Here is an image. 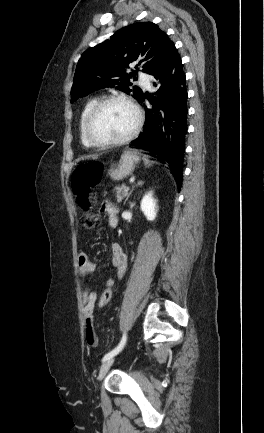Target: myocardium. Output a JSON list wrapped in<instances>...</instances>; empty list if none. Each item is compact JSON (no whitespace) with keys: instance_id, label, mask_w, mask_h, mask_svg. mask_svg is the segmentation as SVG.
<instances>
[{"instance_id":"myocardium-1","label":"myocardium","mask_w":264,"mask_h":433,"mask_svg":"<svg viewBox=\"0 0 264 433\" xmlns=\"http://www.w3.org/2000/svg\"><path fill=\"white\" fill-rule=\"evenodd\" d=\"M110 103H123V104L129 106L135 114V123H134L133 128L130 130V132L119 139L98 140L92 135V133L90 131V126H91V123H92L94 117L99 112V110ZM142 124H143V115H142V111L139 108V106L132 99H130L126 96L113 95V96H108V97H105V98L98 100L91 107V109L88 111V113L85 117V120H84L83 133H84L85 138L87 139L88 143L94 147H114V146L123 145V144L131 141L139 133V131L142 127Z\"/></svg>"}]
</instances>
